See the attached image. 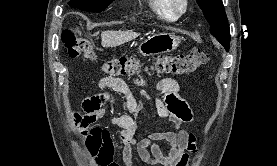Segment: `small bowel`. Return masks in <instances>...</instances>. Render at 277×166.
Wrapping results in <instances>:
<instances>
[{"label":"small bowel","mask_w":277,"mask_h":166,"mask_svg":"<svg viewBox=\"0 0 277 166\" xmlns=\"http://www.w3.org/2000/svg\"><path fill=\"white\" fill-rule=\"evenodd\" d=\"M139 88V95L144 101H153L158 118L167 120L170 130L152 132L145 137L139 136L137 117L144 109V101L138 100L130 86L121 78L104 77L98 82L99 92L82 103L85 124L89 128L104 116V104L109 99L105 91L109 89L123 96L126 113L113 116L111 123L119 129V141L122 157L126 166H133L132 155L148 165L155 166H187L192 156L197 152L195 135L184 128L193 120V114L187 103L179 96V85L171 78L162 79L157 85V94L152 96L144 87L145 79L133 81ZM77 123V116L74 115ZM166 142L170 150L165 154L159 142ZM86 146L89 154L94 157L96 166H120L114 161L116 143L107 128L94 127L86 134Z\"/></svg>","instance_id":"c3829d8e"}]
</instances>
